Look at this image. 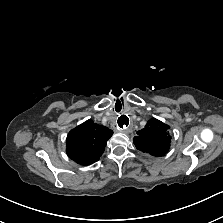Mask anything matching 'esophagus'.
<instances>
[{"label": "esophagus", "instance_id": "1", "mask_svg": "<svg viewBox=\"0 0 223 223\" xmlns=\"http://www.w3.org/2000/svg\"><path fill=\"white\" fill-rule=\"evenodd\" d=\"M116 125L119 129L121 130H126L130 127L131 125V120L128 116L126 115H121L117 118L116 120Z\"/></svg>", "mask_w": 223, "mask_h": 223}]
</instances>
